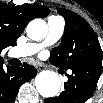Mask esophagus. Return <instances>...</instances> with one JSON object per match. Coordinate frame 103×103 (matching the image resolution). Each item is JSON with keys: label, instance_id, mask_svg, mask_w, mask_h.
I'll use <instances>...</instances> for the list:
<instances>
[{"label": "esophagus", "instance_id": "obj_1", "mask_svg": "<svg viewBox=\"0 0 103 103\" xmlns=\"http://www.w3.org/2000/svg\"><path fill=\"white\" fill-rule=\"evenodd\" d=\"M43 65L42 64H35V68L38 70V71H41L43 69Z\"/></svg>", "mask_w": 103, "mask_h": 103}]
</instances>
